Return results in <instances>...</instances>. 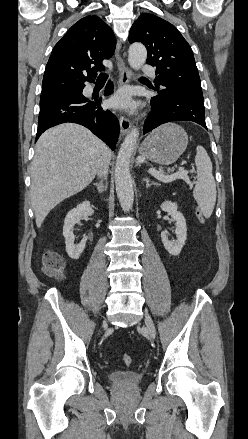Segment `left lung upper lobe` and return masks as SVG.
<instances>
[{"label": "left lung upper lobe", "mask_w": 248, "mask_h": 439, "mask_svg": "<svg viewBox=\"0 0 248 439\" xmlns=\"http://www.w3.org/2000/svg\"><path fill=\"white\" fill-rule=\"evenodd\" d=\"M129 42L145 45L146 62L156 67V88L203 96L192 49L175 26L153 14H141L131 27Z\"/></svg>", "instance_id": "5c2ea615"}]
</instances>
